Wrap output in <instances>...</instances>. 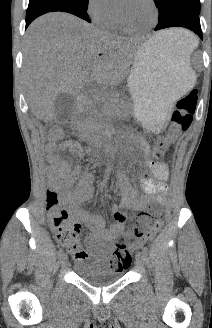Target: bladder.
I'll return each mask as SVG.
<instances>
[{
  "instance_id": "obj_1",
  "label": "bladder",
  "mask_w": 212,
  "mask_h": 328,
  "mask_svg": "<svg viewBox=\"0 0 212 328\" xmlns=\"http://www.w3.org/2000/svg\"><path fill=\"white\" fill-rule=\"evenodd\" d=\"M76 275L84 282L95 287H103L119 281L123 275L122 270L99 269L97 263L93 260H80L74 265Z\"/></svg>"
}]
</instances>
